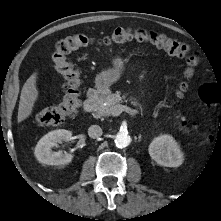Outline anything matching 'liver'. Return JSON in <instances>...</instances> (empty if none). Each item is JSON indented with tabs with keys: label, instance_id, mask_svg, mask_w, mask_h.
<instances>
[{
	"label": "liver",
	"instance_id": "liver-1",
	"mask_svg": "<svg viewBox=\"0 0 221 221\" xmlns=\"http://www.w3.org/2000/svg\"><path fill=\"white\" fill-rule=\"evenodd\" d=\"M37 73H33L23 85L20 95L17 121L20 123L28 118L34 108L38 98V89L36 85Z\"/></svg>",
	"mask_w": 221,
	"mask_h": 221
}]
</instances>
